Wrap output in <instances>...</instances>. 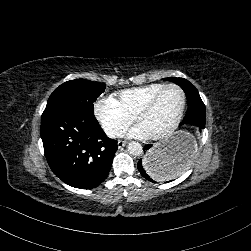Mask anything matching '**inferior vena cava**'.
<instances>
[{
    "mask_svg": "<svg viewBox=\"0 0 251 251\" xmlns=\"http://www.w3.org/2000/svg\"><path fill=\"white\" fill-rule=\"evenodd\" d=\"M104 131L109 138H119L125 136V132L118 127L108 126L104 129Z\"/></svg>",
    "mask_w": 251,
    "mask_h": 251,
    "instance_id": "602c4592",
    "label": "inferior vena cava"
}]
</instances>
